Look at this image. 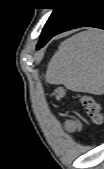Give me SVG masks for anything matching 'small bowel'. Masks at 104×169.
Instances as JSON below:
<instances>
[{
  "label": "small bowel",
  "instance_id": "1",
  "mask_svg": "<svg viewBox=\"0 0 104 169\" xmlns=\"http://www.w3.org/2000/svg\"><path fill=\"white\" fill-rule=\"evenodd\" d=\"M80 129V124L75 122V121H71L68 123V130L71 132H76L77 130Z\"/></svg>",
  "mask_w": 104,
  "mask_h": 169
}]
</instances>
